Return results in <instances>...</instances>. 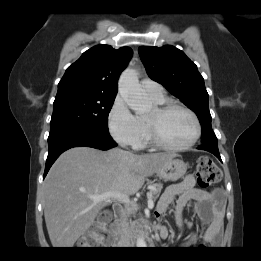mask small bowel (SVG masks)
Masks as SVG:
<instances>
[{"label":"small bowel","mask_w":261,"mask_h":261,"mask_svg":"<svg viewBox=\"0 0 261 261\" xmlns=\"http://www.w3.org/2000/svg\"><path fill=\"white\" fill-rule=\"evenodd\" d=\"M175 203V220L179 228L183 226L181 212L190 202H194V209L200 220L208 225L203 236V244H217L220 241V234L223 226L224 210L226 203L225 193L221 189L212 191L196 187L192 175L186 176L182 181L170 185L162 194L158 206L157 215L163 214L167 208ZM166 234V229H162Z\"/></svg>","instance_id":"obj_1"}]
</instances>
